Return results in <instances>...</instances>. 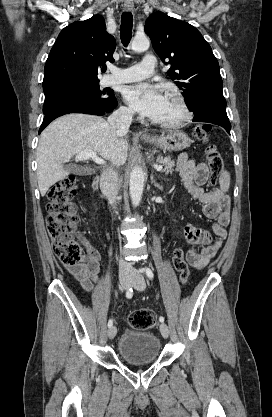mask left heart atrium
Listing matches in <instances>:
<instances>
[{
	"label": "left heart atrium",
	"mask_w": 272,
	"mask_h": 417,
	"mask_svg": "<svg viewBox=\"0 0 272 417\" xmlns=\"http://www.w3.org/2000/svg\"><path fill=\"white\" fill-rule=\"evenodd\" d=\"M124 97L135 111L152 120L160 115L166 101L160 87L148 83L127 87Z\"/></svg>",
	"instance_id": "1"
}]
</instances>
